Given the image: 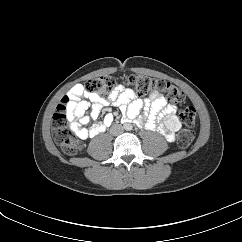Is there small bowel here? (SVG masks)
<instances>
[{"label": "small bowel", "mask_w": 242, "mask_h": 242, "mask_svg": "<svg viewBox=\"0 0 242 242\" xmlns=\"http://www.w3.org/2000/svg\"><path fill=\"white\" fill-rule=\"evenodd\" d=\"M68 96L67 101L62 98L61 105L73 131L81 139L95 136L111 125L114 120L111 113L106 114L102 121L98 120L101 110L107 105L117 106L128 121L134 120L148 129L159 127L168 141H174L175 132L180 128L176 115L177 107L168 104L160 93L136 99L131 90L118 86L108 98H103L97 93L85 91L81 85H76ZM142 109L144 114L138 117ZM91 121L94 122L90 124ZM159 121H162V124L158 126Z\"/></svg>", "instance_id": "c3829d8e"}]
</instances>
